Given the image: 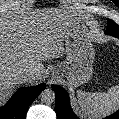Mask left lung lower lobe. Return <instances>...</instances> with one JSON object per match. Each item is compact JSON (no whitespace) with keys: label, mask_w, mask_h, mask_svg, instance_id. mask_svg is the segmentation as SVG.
<instances>
[{"label":"left lung lower lobe","mask_w":119,"mask_h":119,"mask_svg":"<svg viewBox=\"0 0 119 119\" xmlns=\"http://www.w3.org/2000/svg\"><path fill=\"white\" fill-rule=\"evenodd\" d=\"M106 34L119 38V34H111L110 32H106ZM52 88L56 93L55 110L58 119H79L71 109L67 92L56 85H53ZM105 119H119V111Z\"/></svg>","instance_id":"1"}]
</instances>
